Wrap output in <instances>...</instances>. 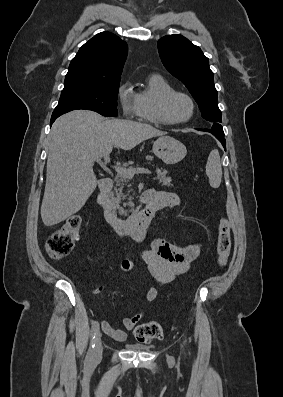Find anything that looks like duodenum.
<instances>
[{
	"label": "duodenum",
	"mask_w": 283,
	"mask_h": 397,
	"mask_svg": "<svg viewBox=\"0 0 283 397\" xmlns=\"http://www.w3.org/2000/svg\"><path fill=\"white\" fill-rule=\"evenodd\" d=\"M112 187L113 180L111 178L102 179L97 197V203L102 209L107 223L120 236L134 235L145 231L155 212L159 209L149 190L141 194L136 209L127 218H122L117 214L109 199Z\"/></svg>",
	"instance_id": "duodenum-1"
}]
</instances>
